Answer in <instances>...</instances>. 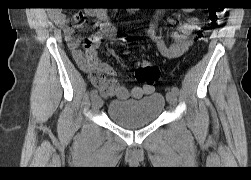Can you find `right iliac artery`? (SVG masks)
Masks as SVG:
<instances>
[{"label":"right iliac artery","instance_id":"right-iliac-artery-1","mask_svg":"<svg viewBox=\"0 0 251 180\" xmlns=\"http://www.w3.org/2000/svg\"><path fill=\"white\" fill-rule=\"evenodd\" d=\"M97 95H98V92H97L96 89L91 90V92H90L91 98H94V97L97 96Z\"/></svg>","mask_w":251,"mask_h":180}]
</instances>
